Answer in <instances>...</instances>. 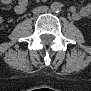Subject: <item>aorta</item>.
Returning <instances> with one entry per match:
<instances>
[{"mask_svg":"<svg viewBox=\"0 0 91 91\" xmlns=\"http://www.w3.org/2000/svg\"><path fill=\"white\" fill-rule=\"evenodd\" d=\"M50 7H51V10H52L53 12L58 13V12H60L61 9H62V4L59 3V2H53Z\"/></svg>","mask_w":91,"mask_h":91,"instance_id":"obj_1","label":"aorta"}]
</instances>
